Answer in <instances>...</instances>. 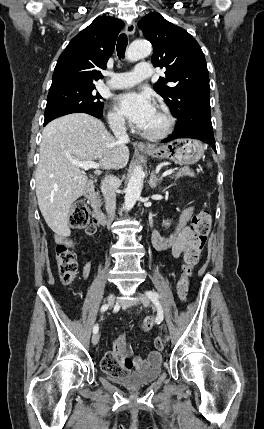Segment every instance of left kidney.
I'll use <instances>...</instances> for the list:
<instances>
[{"mask_svg": "<svg viewBox=\"0 0 264 429\" xmlns=\"http://www.w3.org/2000/svg\"><path fill=\"white\" fill-rule=\"evenodd\" d=\"M163 225L164 226H169L170 225V222L167 220V221H163Z\"/></svg>", "mask_w": 264, "mask_h": 429, "instance_id": "5707ae66", "label": "left kidney"}]
</instances>
